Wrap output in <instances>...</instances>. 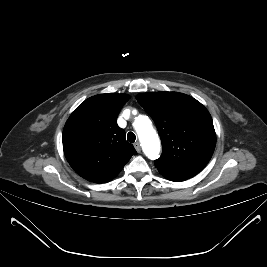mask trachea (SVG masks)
Instances as JSON below:
<instances>
[{
	"instance_id": "3493384b",
	"label": "trachea",
	"mask_w": 267,
	"mask_h": 267,
	"mask_svg": "<svg viewBox=\"0 0 267 267\" xmlns=\"http://www.w3.org/2000/svg\"><path fill=\"white\" fill-rule=\"evenodd\" d=\"M127 140H128L129 142H131V143L135 142V140H136V136H135V134H134L133 132H129V133L127 134Z\"/></svg>"
}]
</instances>
